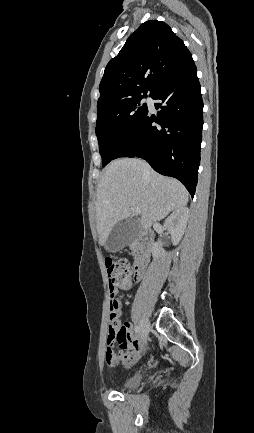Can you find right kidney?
Here are the masks:
<instances>
[{"instance_id":"right-kidney-1","label":"right kidney","mask_w":254,"mask_h":433,"mask_svg":"<svg viewBox=\"0 0 254 433\" xmlns=\"http://www.w3.org/2000/svg\"><path fill=\"white\" fill-rule=\"evenodd\" d=\"M189 218L188 208H180L175 210L164 222V227L171 234L173 245H177L185 231ZM153 258H159L165 255L161 244L155 243L152 247Z\"/></svg>"}]
</instances>
